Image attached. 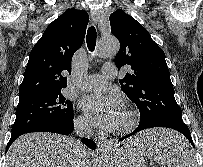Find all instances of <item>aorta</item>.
Listing matches in <instances>:
<instances>
[{
  "instance_id": "1",
  "label": "aorta",
  "mask_w": 203,
  "mask_h": 167,
  "mask_svg": "<svg viewBox=\"0 0 203 167\" xmlns=\"http://www.w3.org/2000/svg\"><path fill=\"white\" fill-rule=\"evenodd\" d=\"M119 51V42L114 36L103 37L99 40L96 55L99 58L114 57ZM96 167H109L108 159L101 157L96 164Z\"/></svg>"
}]
</instances>
